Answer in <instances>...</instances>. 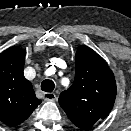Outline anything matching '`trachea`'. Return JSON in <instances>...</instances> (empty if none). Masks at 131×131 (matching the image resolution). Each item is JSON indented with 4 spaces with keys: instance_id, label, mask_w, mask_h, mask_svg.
Listing matches in <instances>:
<instances>
[{
    "instance_id": "3493384b",
    "label": "trachea",
    "mask_w": 131,
    "mask_h": 131,
    "mask_svg": "<svg viewBox=\"0 0 131 131\" xmlns=\"http://www.w3.org/2000/svg\"><path fill=\"white\" fill-rule=\"evenodd\" d=\"M55 88V84L52 80L46 79L41 83V90L45 92H52Z\"/></svg>"
}]
</instances>
